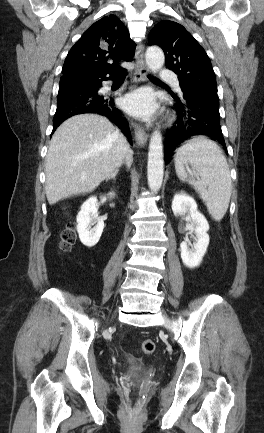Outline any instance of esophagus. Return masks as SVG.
Instances as JSON below:
<instances>
[{"instance_id": "esophagus-1", "label": "esophagus", "mask_w": 264, "mask_h": 433, "mask_svg": "<svg viewBox=\"0 0 264 433\" xmlns=\"http://www.w3.org/2000/svg\"><path fill=\"white\" fill-rule=\"evenodd\" d=\"M135 59H136V68L134 72V80L135 81L145 80L148 70L144 59V48L142 44H139L136 48ZM132 125L134 128V135H135L136 142L139 145H145L149 135L142 127L134 123H132Z\"/></svg>"}]
</instances>
